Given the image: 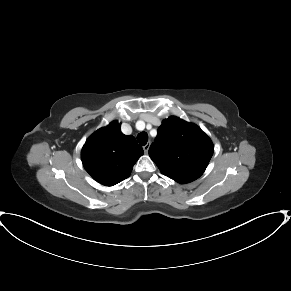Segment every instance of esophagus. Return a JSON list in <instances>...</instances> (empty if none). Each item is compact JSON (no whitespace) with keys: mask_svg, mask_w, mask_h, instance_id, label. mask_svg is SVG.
I'll use <instances>...</instances> for the list:
<instances>
[{"mask_svg":"<svg viewBox=\"0 0 291 291\" xmlns=\"http://www.w3.org/2000/svg\"><path fill=\"white\" fill-rule=\"evenodd\" d=\"M149 147H150V144H146V145L143 147V150H144V152H145L146 154L148 153Z\"/></svg>","mask_w":291,"mask_h":291,"instance_id":"1","label":"esophagus"}]
</instances>
